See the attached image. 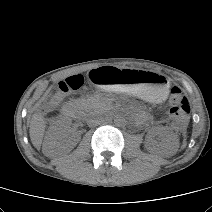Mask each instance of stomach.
Returning a JSON list of instances; mask_svg holds the SVG:
<instances>
[{
  "label": "stomach",
  "instance_id": "0dacf381",
  "mask_svg": "<svg viewBox=\"0 0 212 212\" xmlns=\"http://www.w3.org/2000/svg\"><path fill=\"white\" fill-rule=\"evenodd\" d=\"M89 77L98 86L111 84L107 86L155 103L165 100L169 91L168 79L153 72L102 66Z\"/></svg>",
  "mask_w": 212,
  "mask_h": 212
}]
</instances>
